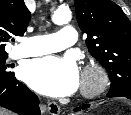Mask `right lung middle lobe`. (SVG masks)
<instances>
[{"label":"right lung middle lobe","mask_w":131,"mask_h":115,"mask_svg":"<svg viewBox=\"0 0 131 115\" xmlns=\"http://www.w3.org/2000/svg\"><path fill=\"white\" fill-rule=\"evenodd\" d=\"M8 54L0 55V79L8 78L14 75L13 72L8 71L5 65V60L7 59Z\"/></svg>","instance_id":"dd1d6c3e"}]
</instances>
